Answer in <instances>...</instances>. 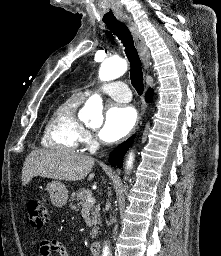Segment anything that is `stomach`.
I'll return each instance as SVG.
<instances>
[{
  "label": "stomach",
  "mask_w": 221,
  "mask_h": 256,
  "mask_svg": "<svg viewBox=\"0 0 221 256\" xmlns=\"http://www.w3.org/2000/svg\"><path fill=\"white\" fill-rule=\"evenodd\" d=\"M46 190L50 195L53 205L56 207H62L66 204L68 199V190L63 183L60 181H52L47 184Z\"/></svg>",
  "instance_id": "stomach-1"
}]
</instances>
